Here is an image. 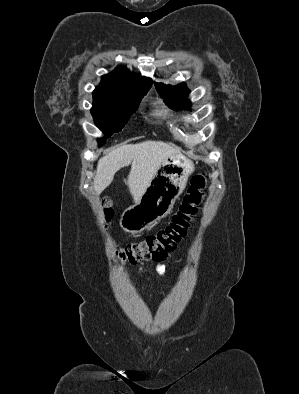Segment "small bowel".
Segmentation results:
<instances>
[{
	"instance_id": "small-bowel-1",
	"label": "small bowel",
	"mask_w": 299,
	"mask_h": 394,
	"mask_svg": "<svg viewBox=\"0 0 299 394\" xmlns=\"http://www.w3.org/2000/svg\"><path fill=\"white\" fill-rule=\"evenodd\" d=\"M155 271L159 274V275H164L166 272V266L163 263H159L155 266Z\"/></svg>"
}]
</instances>
